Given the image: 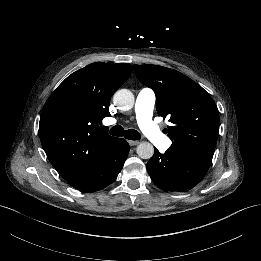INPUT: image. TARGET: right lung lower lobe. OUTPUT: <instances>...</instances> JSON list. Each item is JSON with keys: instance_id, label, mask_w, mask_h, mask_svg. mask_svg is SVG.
I'll return each mask as SVG.
<instances>
[{"instance_id": "1", "label": "right lung lower lobe", "mask_w": 261, "mask_h": 261, "mask_svg": "<svg viewBox=\"0 0 261 261\" xmlns=\"http://www.w3.org/2000/svg\"><path fill=\"white\" fill-rule=\"evenodd\" d=\"M130 146L126 140L118 138L105 157L90 168L67 179L72 187L82 192H95L111 184L121 171L128 156Z\"/></svg>"}]
</instances>
